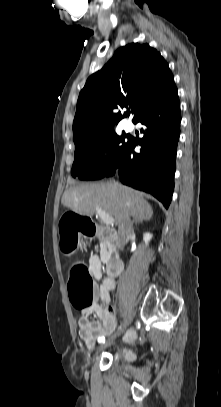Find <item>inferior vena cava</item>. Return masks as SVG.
<instances>
[{"label": "inferior vena cava", "instance_id": "602c4592", "mask_svg": "<svg viewBox=\"0 0 221 407\" xmlns=\"http://www.w3.org/2000/svg\"><path fill=\"white\" fill-rule=\"evenodd\" d=\"M133 233H134L133 221L130 219L129 214L125 212L118 226L120 242L122 244H125Z\"/></svg>", "mask_w": 221, "mask_h": 407}]
</instances>
